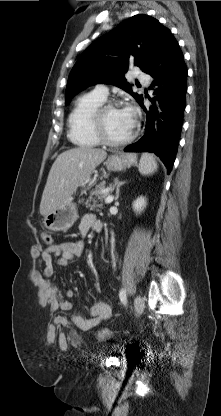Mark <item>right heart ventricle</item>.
<instances>
[{"instance_id":"e07e8e85","label":"right heart ventricle","mask_w":221,"mask_h":416,"mask_svg":"<svg viewBox=\"0 0 221 416\" xmlns=\"http://www.w3.org/2000/svg\"><path fill=\"white\" fill-rule=\"evenodd\" d=\"M106 97L95 91L81 95L68 117V136L70 140L80 147H94L101 142L92 128L93 114L98 106L104 103Z\"/></svg>"}]
</instances>
